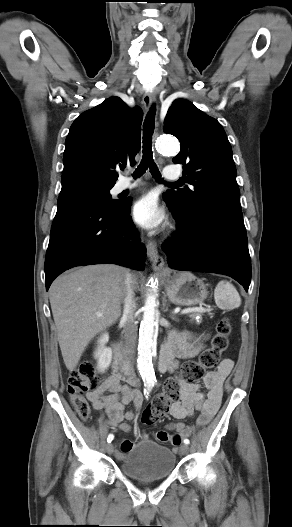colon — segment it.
<instances>
[{
	"mask_svg": "<svg viewBox=\"0 0 292 527\" xmlns=\"http://www.w3.org/2000/svg\"><path fill=\"white\" fill-rule=\"evenodd\" d=\"M232 326L228 318H222L216 325V333L212 338L211 346L205 350L198 361H190L182 366L179 380L188 384H197L207 372L215 369L221 361L222 354L229 346V337ZM100 386L96 367L91 362L81 363L74 368L68 377L67 391L70 401L78 416L86 420L90 415V407L85 393L95 391ZM177 380L171 378L164 391L156 396L142 413V422L153 425L159 422L169 410L170 403L177 398Z\"/></svg>",
	"mask_w": 292,
	"mask_h": 527,
	"instance_id": "obj_1",
	"label": "colon"
}]
</instances>
